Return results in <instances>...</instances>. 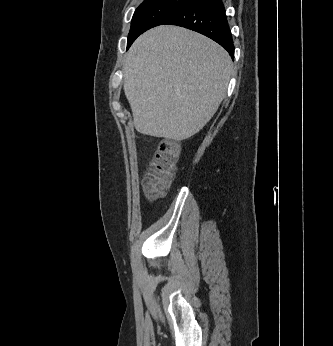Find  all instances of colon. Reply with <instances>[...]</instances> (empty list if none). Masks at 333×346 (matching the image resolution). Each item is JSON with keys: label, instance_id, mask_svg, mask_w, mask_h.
I'll return each mask as SVG.
<instances>
[{"label": "colon", "instance_id": "colon-1", "mask_svg": "<svg viewBox=\"0 0 333 346\" xmlns=\"http://www.w3.org/2000/svg\"><path fill=\"white\" fill-rule=\"evenodd\" d=\"M180 153V146L172 140L159 143L143 177L144 192L148 199H159L170 186Z\"/></svg>", "mask_w": 333, "mask_h": 346}]
</instances>
